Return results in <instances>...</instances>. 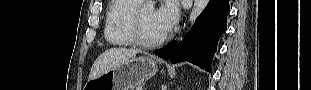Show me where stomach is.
<instances>
[{"instance_id":"stomach-1","label":"stomach","mask_w":311,"mask_h":90,"mask_svg":"<svg viewBox=\"0 0 311 90\" xmlns=\"http://www.w3.org/2000/svg\"><path fill=\"white\" fill-rule=\"evenodd\" d=\"M158 71L153 56L132 57L115 69L89 80L85 90H134Z\"/></svg>"}]
</instances>
